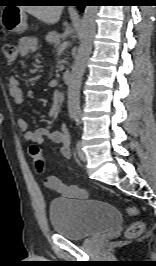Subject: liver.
Returning a JSON list of instances; mask_svg holds the SVG:
<instances>
[{
	"label": "liver",
	"mask_w": 156,
	"mask_h": 266,
	"mask_svg": "<svg viewBox=\"0 0 156 266\" xmlns=\"http://www.w3.org/2000/svg\"><path fill=\"white\" fill-rule=\"evenodd\" d=\"M22 11H26L46 24H55L59 21L63 6H24Z\"/></svg>",
	"instance_id": "liver-1"
}]
</instances>
